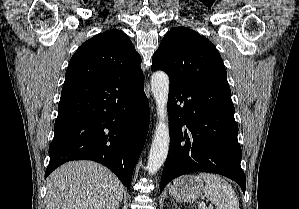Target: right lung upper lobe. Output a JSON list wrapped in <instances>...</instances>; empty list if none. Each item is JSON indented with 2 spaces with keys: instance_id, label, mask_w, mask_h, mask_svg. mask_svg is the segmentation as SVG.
<instances>
[{
  "instance_id": "right-lung-upper-lobe-1",
  "label": "right lung upper lobe",
  "mask_w": 299,
  "mask_h": 209,
  "mask_svg": "<svg viewBox=\"0 0 299 209\" xmlns=\"http://www.w3.org/2000/svg\"><path fill=\"white\" fill-rule=\"evenodd\" d=\"M140 62L124 32H103L85 41L72 56L64 85L116 77L135 84L143 79Z\"/></svg>"
}]
</instances>
